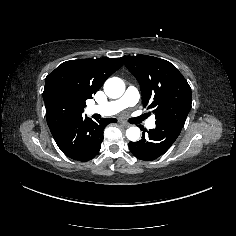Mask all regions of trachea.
Returning <instances> with one entry per match:
<instances>
[{"instance_id":"3493384b","label":"trachea","mask_w":236,"mask_h":236,"mask_svg":"<svg viewBox=\"0 0 236 236\" xmlns=\"http://www.w3.org/2000/svg\"><path fill=\"white\" fill-rule=\"evenodd\" d=\"M149 115H150L149 113H145L141 117H143V119H146Z\"/></svg>"}]
</instances>
